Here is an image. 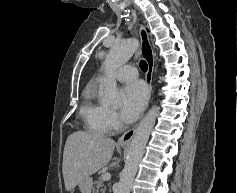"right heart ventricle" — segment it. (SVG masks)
I'll return each mask as SVG.
<instances>
[{
    "label": "right heart ventricle",
    "mask_w": 237,
    "mask_h": 193,
    "mask_svg": "<svg viewBox=\"0 0 237 193\" xmlns=\"http://www.w3.org/2000/svg\"><path fill=\"white\" fill-rule=\"evenodd\" d=\"M108 108L100 102L97 86L89 83L82 92L80 116L87 129L96 134H107L111 131L108 124Z\"/></svg>",
    "instance_id": "1"
}]
</instances>
